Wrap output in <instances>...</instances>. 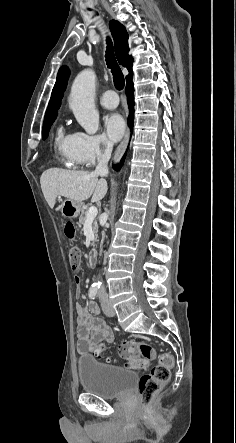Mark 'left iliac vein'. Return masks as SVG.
<instances>
[{
	"label": "left iliac vein",
	"instance_id": "1",
	"mask_svg": "<svg viewBox=\"0 0 236 443\" xmlns=\"http://www.w3.org/2000/svg\"><path fill=\"white\" fill-rule=\"evenodd\" d=\"M102 310H103L104 314L108 317H113L115 315V310L113 309V307L110 304L103 305Z\"/></svg>",
	"mask_w": 236,
	"mask_h": 443
}]
</instances>
